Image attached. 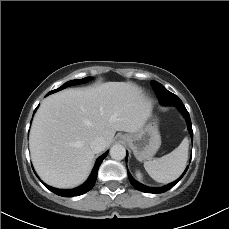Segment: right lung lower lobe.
Masks as SVG:
<instances>
[{"mask_svg": "<svg viewBox=\"0 0 229 229\" xmlns=\"http://www.w3.org/2000/svg\"><path fill=\"white\" fill-rule=\"evenodd\" d=\"M49 95V94H47ZM108 152L104 153L101 157H99L95 163V166L92 170V173L90 175V177L88 178V180L82 184L81 186L74 188V189H70V190H61V189H56L53 187H50L48 185H45L47 189H49L50 191H52L53 193L59 195V196H63V197H72V196H79L82 195L86 192H88L89 190L92 189V187L95 184L96 178H97V173H98V169L99 166L101 165L103 159L107 156Z\"/></svg>", "mask_w": 229, "mask_h": 229, "instance_id": "1", "label": "right lung lower lobe"}]
</instances>
